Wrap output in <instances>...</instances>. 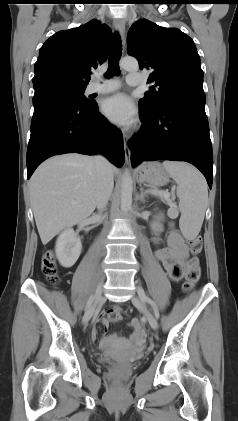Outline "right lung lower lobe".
I'll list each match as a JSON object with an SVG mask.
<instances>
[{"instance_id":"right-lung-lower-lobe-1","label":"right lung lower lobe","mask_w":238,"mask_h":421,"mask_svg":"<svg viewBox=\"0 0 238 421\" xmlns=\"http://www.w3.org/2000/svg\"><path fill=\"white\" fill-rule=\"evenodd\" d=\"M34 114L27 149V178L45 159L64 153H102L113 164L124 163L122 133L98 112L95 102L85 105L55 89L35 91Z\"/></svg>"}]
</instances>
